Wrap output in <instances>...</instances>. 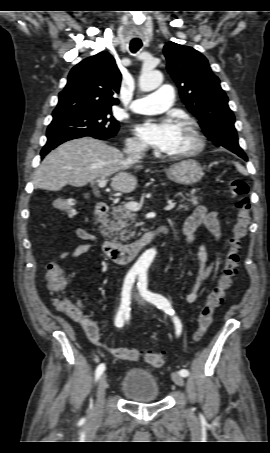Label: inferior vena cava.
Here are the masks:
<instances>
[{"mask_svg": "<svg viewBox=\"0 0 270 453\" xmlns=\"http://www.w3.org/2000/svg\"><path fill=\"white\" fill-rule=\"evenodd\" d=\"M124 153L127 154L128 160L131 162H138L141 159V152H138L135 150V148L128 146L127 148L124 149Z\"/></svg>", "mask_w": 270, "mask_h": 453, "instance_id": "1", "label": "inferior vena cava"}]
</instances>
